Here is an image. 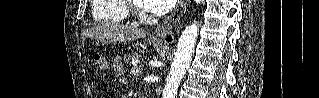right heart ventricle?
<instances>
[{"mask_svg":"<svg viewBox=\"0 0 319 98\" xmlns=\"http://www.w3.org/2000/svg\"><path fill=\"white\" fill-rule=\"evenodd\" d=\"M125 0H94L92 15L99 24L122 23L128 18Z\"/></svg>","mask_w":319,"mask_h":98,"instance_id":"1","label":"right heart ventricle"}]
</instances>
